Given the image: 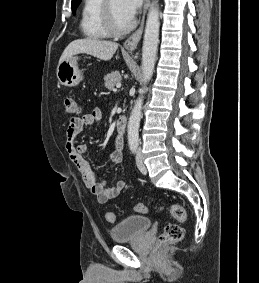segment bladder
I'll use <instances>...</instances> for the list:
<instances>
[{"label":"bladder","instance_id":"bladder-1","mask_svg":"<svg viewBox=\"0 0 259 283\" xmlns=\"http://www.w3.org/2000/svg\"><path fill=\"white\" fill-rule=\"evenodd\" d=\"M151 227V220L146 216L131 215L117 223L111 229V238L114 242H122L137 238Z\"/></svg>","mask_w":259,"mask_h":283}]
</instances>
